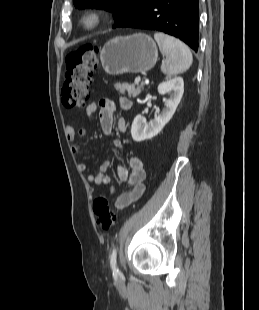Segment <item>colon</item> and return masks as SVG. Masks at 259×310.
Here are the masks:
<instances>
[{
	"mask_svg": "<svg viewBox=\"0 0 259 310\" xmlns=\"http://www.w3.org/2000/svg\"><path fill=\"white\" fill-rule=\"evenodd\" d=\"M98 65V47L85 44L69 52L66 56L65 82L62 89V101L67 107H84L90 97L92 76ZM93 211L103 230H109L117 217L105 196L93 202Z\"/></svg>",
	"mask_w": 259,
	"mask_h": 310,
	"instance_id": "5ec220e1",
	"label": "colon"
}]
</instances>
